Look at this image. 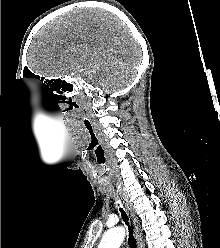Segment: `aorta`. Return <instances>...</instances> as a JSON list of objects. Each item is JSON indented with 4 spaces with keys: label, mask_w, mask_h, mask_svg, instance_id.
<instances>
[{
    "label": "aorta",
    "mask_w": 220,
    "mask_h": 248,
    "mask_svg": "<svg viewBox=\"0 0 220 248\" xmlns=\"http://www.w3.org/2000/svg\"><path fill=\"white\" fill-rule=\"evenodd\" d=\"M125 238V229L116 227L110 229L103 236L98 248H120Z\"/></svg>",
    "instance_id": "obj_1"
}]
</instances>
